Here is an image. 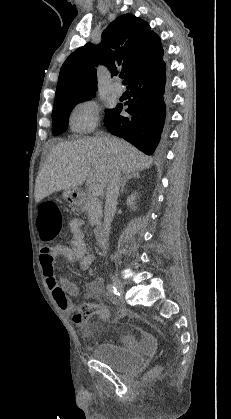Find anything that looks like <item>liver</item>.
I'll return each instance as SVG.
<instances>
[{
	"label": "liver",
	"instance_id": "obj_1",
	"mask_svg": "<svg viewBox=\"0 0 231 419\" xmlns=\"http://www.w3.org/2000/svg\"><path fill=\"white\" fill-rule=\"evenodd\" d=\"M150 157L123 139L100 136L57 144L44 162L35 183V201L60 190L88 183L107 186L109 173L117 165L123 174L149 168Z\"/></svg>",
	"mask_w": 231,
	"mask_h": 419
}]
</instances>
